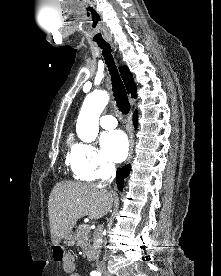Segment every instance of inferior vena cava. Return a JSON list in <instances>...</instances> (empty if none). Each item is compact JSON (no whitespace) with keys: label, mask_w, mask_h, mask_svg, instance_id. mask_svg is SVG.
I'll return each mask as SVG.
<instances>
[{"label":"inferior vena cava","mask_w":221,"mask_h":276,"mask_svg":"<svg viewBox=\"0 0 221 276\" xmlns=\"http://www.w3.org/2000/svg\"><path fill=\"white\" fill-rule=\"evenodd\" d=\"M116 175V169L114 165L107 164L105 167V174L104 179L112 181L115 178ZM103 225H100L97 229V231L94 234L93 239V252H92V258L96 261V264L99 265V256H100V248L103 243Z\"/></svg>","instance_id":"inferior-vena-cava-1"}]
</instances>
